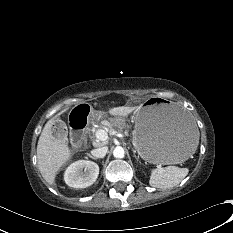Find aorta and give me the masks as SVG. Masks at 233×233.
<instances>
[{
	"label": "aorta",
	"instance_id": "762f6f07",
	"mask_svg": "<svg viewBox=\"0 0 233 233\" xmlns=\"http://www.w3.org/2000/svg\"><path fill=\"white\" fill-rule=\"evenodd\" d=\"M113 156L115 158H123L125 156V151L122 147L118 146L113 151Z\"/></svg>",
	"mask_w": 233,
	"mask_h": 233
}]
</instances>
